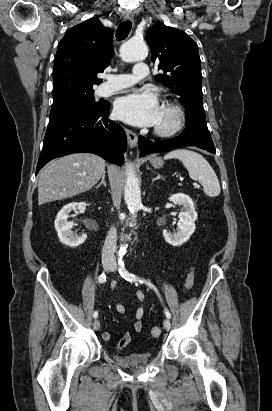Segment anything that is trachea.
Wrapping results in <instances>:
<instances>
[{
  "label": "trachea",
  "mask_w": 272,
  "mask_h": 411,
  "mask_svg": "<svg viewBox=\"0 0 272 411\" xmlns=\"http://www.w3.org/2000/svg\"><path fill=\"white\" fill-rule=\"evenodd\" d=\"M132 28L131 21H124L122 22L116 31V38L118 41L124 40L130 33Z\"/></svg>",
  "instance_id": "1"
}]
</instances>
